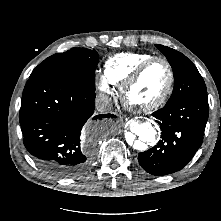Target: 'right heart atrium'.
Here are the masks:
<instances>
[{
    "label": "right heart atrium",
    "instance_id": "1",
    "mask_svg": "<svg viewBox=\"0 0 221 221\" xmlns=\"http://www.w3.org/2000/svg\"><path fill=\"white\" fill-rule=\"evenodd\" d=\"M113 84L109 80L102 76L98 82V90L102 96L107 97L112 94Z\"/></svg>",
    "mask_w": 221,
    "mask_h": 221
}]
</instances>
